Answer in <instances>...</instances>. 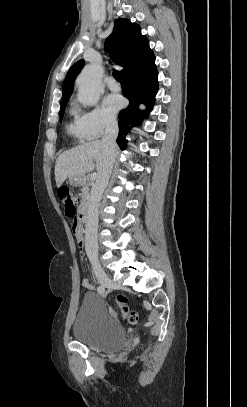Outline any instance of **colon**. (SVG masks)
<instances>
[{"instance_id":"colon-1","label":"colon","mask_w":247,"mask_h":407,"mask_svg":"<svg viewBox=\"0 0 247 407\" xmlns=\"http://www.w3.org/2000/svg\"><path fill=\"white\" fill-rule=\"evenodd\" d=\"M58 195L63 203L65 214L73 217L76 213V195L73 190L68 186H63L59 188ZM114 303L121 311L122 318L125 321L132 325L138 323L139 315L128 307V300L125 296H116Z\"/></svg>"}]
</instances>
